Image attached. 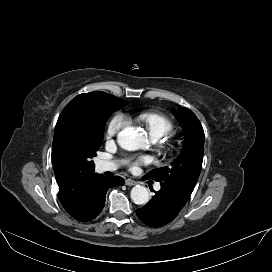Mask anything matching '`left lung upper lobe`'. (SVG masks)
Segmentation results:
<instances>
[{
	"instance_id": "1",
	"label": "left lung upper lobe",
	"mask_w": 272,
	"mask_h": 272,
	"mask_svg": "<svg viewBox=\"0 0 272 272\" xmlns=\"http://www.w3.org/2000/svg\"><path fill=\"white\" fill-rule=\"evenodd\" d=\"M177 119L186 130L182 153L170 167L151 170L146 179H153L189 199L200 175L204 154V130L196 115L182 108Z\"/></svg>"
}]
</instances>
